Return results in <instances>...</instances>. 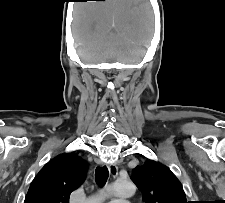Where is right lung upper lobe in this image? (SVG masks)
I'll list each match as a JSON object with an SVG mask.
<instances>
[{
	"instance_id": "cb5924a9",
	"label": "right lung upper lobe",
	"mask_w": 225,
	"mask_h": 203,
	"mask_svg": "<svg viewBox=\"0 0 225 203\" xmlns=\"http://www.w3.org/2000/svg\"><path fill=\"white\" fill-rule=\"evenodd\" d=\"M86 167L74 153L55 157L34 178L24 203H69L71 192L85 180Z\"/></svg>"
}]
</instances>
